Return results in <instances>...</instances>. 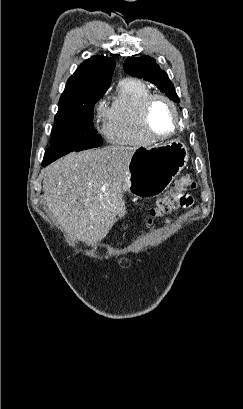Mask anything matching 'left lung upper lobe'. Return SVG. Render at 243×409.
<instances>
[{
    "instance_id": "5c2ea615",
    "label": "left lung upper lobe",
    "mask_w": 243,
    "mask_h": 409,
    "mask_svg": "<svg viewBox=\"0 0 243 409\" xmlns=\"http://www.w3.org/2000/svg\"><path fill=\"white\" fill-rule=\"evenodd\" d=\"M123 68L126 73L144 78L146 81L155 84L162 92H165L170 99L180 102L172 82L153 58L149 56L139 58L128 57L124 62Z\"/></svg>"
}]
</instances>
